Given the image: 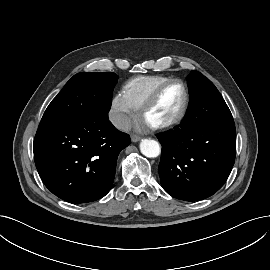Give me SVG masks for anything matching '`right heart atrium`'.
<instances>
[{
  "mask_svg": "<svg viewBox=\"0 0 270 270\" xmlns=\"http://www.w3.org/2000/svg\"><path fill=\"white\" fill-rule=\"evenodd\" d=\"M136 111L124 92H117L111 99L108 117L113 126L120 130H126Z\"/></svg>",
  "mask_w": 270,
  "mask_h": 270,
  "instance_id": "right-heart-atrium-1",
  "label": "right heart atrium"
}]
</instances>
